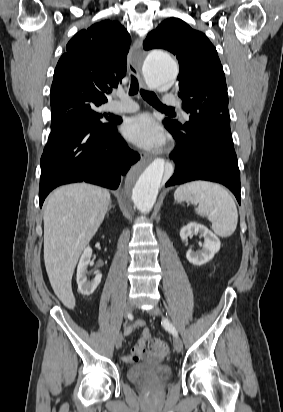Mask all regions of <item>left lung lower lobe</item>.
<instances>
[{
	"mask_svg": "<svg viewBox=\"0 0 283 412\" xmlns=\"http://www.w3.org/2000/svg\"><path fill=\"white\" fill-rule=\"evenodd\" d=\"M164 125L176 141V149L170 154L175 162V172L165 186L193 180L218 182L228 187L240 204V171L236 153L212 146L199 131Z\"/></svg>",
	"mask_w": 283,
	"mask_h": 412,
	"instance_id": "0a47b994",
	"label": "left lung lower lobe"
}]
</instances>
